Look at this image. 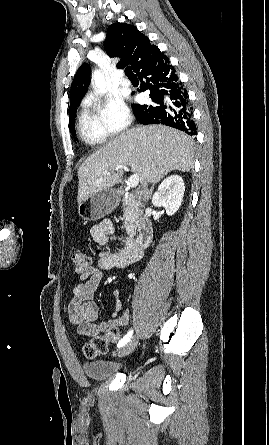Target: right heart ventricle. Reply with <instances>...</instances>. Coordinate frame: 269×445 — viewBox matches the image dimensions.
I'll use <instances>...</instances> for the list:
<instances>
[{"instance_id": "e07e8e85", "label": "right heart ventricle", "mask_w": 269, "mask_h": 445, "mask_svg": "<svg viewBox=\"0 0 269 445\" xmlns=\"http://www.w3.org/2000/svg\"><path fill=\"white\" fill-rule=\"evenodd\" d=\"M78 131L81 139L91 146L103 143L109 136V133L101 126L95 115L86 107H83L80 111Z\"/></svg>"}]
</instances>
